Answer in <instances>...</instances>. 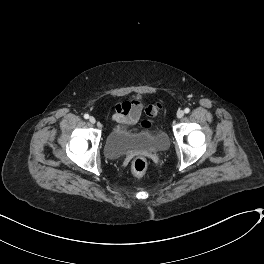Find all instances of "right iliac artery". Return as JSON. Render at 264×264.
I'll return each mask as SVG.
<instances>
[{"label":"right iliac artery","instance_id":"right-iliac-artery-1","mask_svg":"<svg viewBox=\"0 0 264 264\" xmlns=\"http://www.w3.org/2000/svg\"><path fill=\"white\" fill-rule=\"evenodd\" d=\"M84 118L85 119H88L89 118V115L88 114H84Z\"/></svg>","mask_w":264,"mask_h":264}]
</instances>
